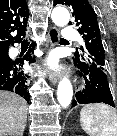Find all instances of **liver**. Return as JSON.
<instances>
[{
  "label": "liver",
  "mask_w": 117,
  "mask_h": 136,
  "mask_svg": "<svg viewBox=\"0 0 117 136\" xmlns=\"http://www.w3.org/2000/svg\"><path fill=\"white\" fill-rule=\"evenodd\" d=\"M27 102L15 93L0 91V136H23Z\"/></svg>",
  "instance_id": "liver-1"
}]
</instances>
